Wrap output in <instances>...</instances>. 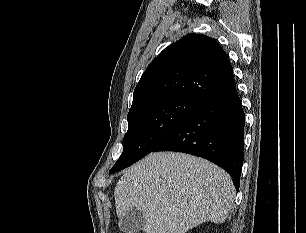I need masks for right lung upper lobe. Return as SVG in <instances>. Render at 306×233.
I'll use <instances>...</instances> for the list:
<instances>
[{
    "label": "right lung upper lobe",
    "mask_w": 306,
    "mask_h": 233,
    "mask_svg": "<svg viewBox=\"0 0 306 233\" xmlns=\"http://www.w3.org/2000/svg\"><path fill=\"white\" fill-rule=\"evenodd\" d=\"M234 87L233 69L220 44L193 33L168 46L149 64L134 90L129 112L173 97L203 105Z\"/></svg>",
    "instance_id": "obj_1"
}]
</instances>
